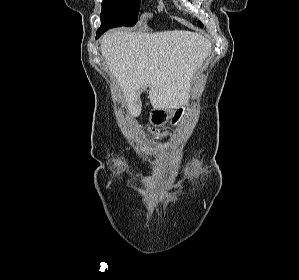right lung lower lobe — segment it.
I'll use <instances>...</instances> for the list:
<instances>
[{
    "instance_id": "right-lung-lower-lobe-1",
    "label": "right lung lower lobe",
    "mask_w": 299,
    "mask_h": 280,
    "mask_svg": "<svg viewBox=\"0 0 299 280\" xmlns=\"http://www.w3.org/2000/svg\"><path fill=\"white\" fill-rule=\"evenodd\" d=\"M110 28H113V24L101 19V27L97 30L96 39Z\"/></svg>"
}]
</instances>
